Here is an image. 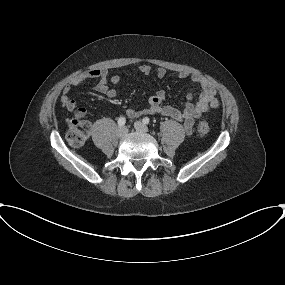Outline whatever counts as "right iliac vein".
<instances>
[{
  "mask_svg": "<svg viewBox=\"0 0 285 285\" xmlns=\"http://www.w3.org/2000/svg\"><path fill=\"white\" fill-rule=\"evenodd\" d=\"M128 133V130L126 127H119L118 130H117V135L120 137V138H123L127 135Z\"/></svg>",
  "mask_w": 285,
  "mask_h": 285,
  "instance_id": "obj_1",
  "label": "right iliac vein"
}]
</instances>
